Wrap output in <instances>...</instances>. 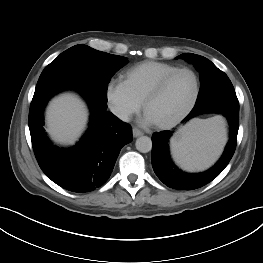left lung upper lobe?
Masks as SVG:
<instances>
[{"label":"left lung upper lobe","instance_id":"5c2ea615","mask_svg":"<svg viewBox=\"0 0 263 263\" xmlns=\"http://www.w3.org/2000/svg\"><path fill=\"white\" fill-rule=\"evenodd\" d=\"M179 57L192 62L200 72L201 87L197 102L214 94L235 92L227 75L207 58L192 53H185Z\"/></svg>","mask_w":263,"mask_h":263}]
</instances>
